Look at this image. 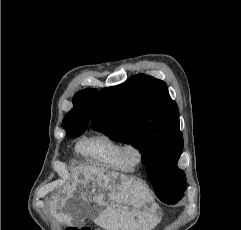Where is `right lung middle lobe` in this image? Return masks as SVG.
Masks as SVG:
<instances>
[{
  "instance_id": "obj_1",
  "label": "right lung middle lobe",
  "mask_w": 241,
  "mask_h": 230,
  "mask_svg": "<svg viewBox=\"0 0 241 230\" xmlns=\"http://www.w3.org/2000/svg\"><path fill=\"white\" fill-rule=\"evenodd\" d=\"M84 131L85 129L69 130V131H66V134L69 137L76 138L80 136L82 133H84Z\"/></svg>"
}]
</instances>
